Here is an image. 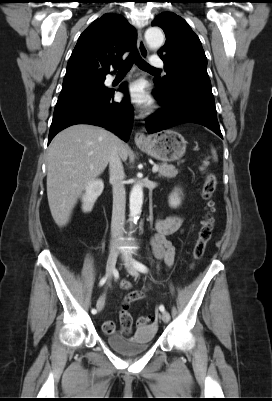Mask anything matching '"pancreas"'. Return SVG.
<instances>
[{
  "mask_svg": "<svg viewBox=\"0 0 272 401\" xmlns=\"http://www.w3.org/2000/svg\"><path fill=\"white\" fill-rule=\"evenodd\" d=\"M159 176L173 178L178 174V170L173 165L163 163L158 167Z\"/></svg>",
  "mask_w": 272,
  "mask_h": 401,
  "instance_id": "pancreas-1",
  "label": "pancreas"
}]
</instances>
